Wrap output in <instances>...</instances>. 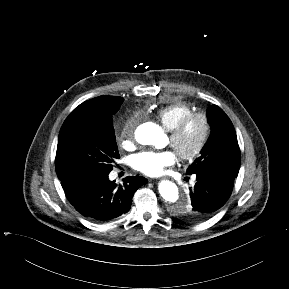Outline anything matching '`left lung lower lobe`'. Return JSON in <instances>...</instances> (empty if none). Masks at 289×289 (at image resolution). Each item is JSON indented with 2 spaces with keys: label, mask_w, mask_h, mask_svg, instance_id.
<instances>
[{
  "label": "left lung lower lobe",
  "mask_w": 289,
  "mask_h": 289,
  "mask_svg": "<svg viewBox=\"0 0 289 289\" xmlns=\"http://www.w3.org/2000/svg\"><path fill=\"white\" fill-rule=\"evenodd\" d=\"M196 184L190 188V198L186 212L191 222L205 220L220 209L230 197L236 176L222 171L196 173Z\"/></svg>",
  "instance_id": "left-lung-lower-lobe-1"
}]
</instances>
